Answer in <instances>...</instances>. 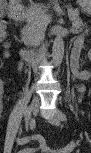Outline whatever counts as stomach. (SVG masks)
Masks as SVG:
<instances>
[{"mask_svg": "<svg viewBox=\"0 0 91 153\" xmlns=\"http://www.w3.org/2000/svg\"><path fill=\"white\" fill-rule=\"evenodd\" d=\"M79 2H80V4L87 5L88 7H86L85 10L90 11V8H89L90 2L89 1H79Z\"/></svg>", "mask_w": 91, "mask_h": 153, "instance_id": "0dacf381", "label": "stomach"}]
</instances>
